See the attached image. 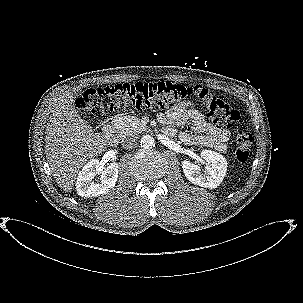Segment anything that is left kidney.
Listing matches in <instances>:
<instances>
[{"label":"left kidney","instance_id":"5707ae66","mask_svg":"<svg viewBox=\"0 0 303 303\" xmlns=\"http://www.w3.org/2000/svg\"><path fill=\"white\" fill-rule=\"evenodd\" d=\"M200 157L209 166H206L202 172L198 165L183 161L182 168L186 178L193 184L204 188H217L226 175L227 160L223 155L212 150H202Z\"/></svg>","mask_w":303,"mask_h":303}]
</instances>
